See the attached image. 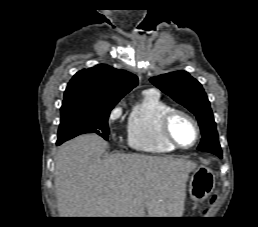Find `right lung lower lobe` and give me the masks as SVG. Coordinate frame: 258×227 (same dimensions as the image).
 <instances>
[{"instance_id":"right-lung-lower-lobe-1","label":"right lung lower lobe","mask_w":258,"mask_h":227,"mask_svg":"<svg viewBox=\"0 0 258 227\" xmlns=\"http://www.w3.org/2000/svg\"><path fill=\"white\" fill-rule=\"evenodd\" d=\"M61 143H63V142L57 141V143H56V144H57V145H60Z\"/></svg>"}]
</instances>
